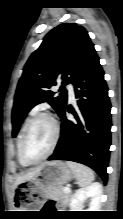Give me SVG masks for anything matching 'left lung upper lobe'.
Listing matches in <instances>:
<instances>
[{
  "label": "left lung upper lobe",
  "mask_w": 123,
  "mask_h": 219,
  "mask_svg": "<svg viewBox=\"0 0 123 219\" xmlns=\"http://www.w3.org/2000/svg\"><path fill=\"white\" fill-rule=\"evenodd\" d=\"M97 56L94 44L82 26L63 23L52 29L32 53L18 82L12 110V135L15 137L27 113L47 101L60 115L67 104L64 86L73 83L82 68ZM62 78L59 95L50 90Z\"/></svg>",
  "instance_id": "1"
}]
</instances>
